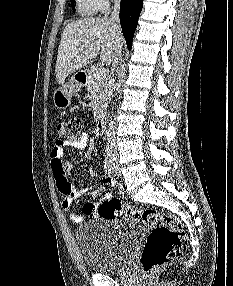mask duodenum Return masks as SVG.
Wrapping results in <instances>:
<instances>
[{"mask_svg":"<svg viewBox=\"0 0 233 286\" xmlns=\"http://www.w3.org/2000/svg\"><path fill=\"white\" fill-rule=\"evenodd\" d=\"M87 79V76L85 73H80L78 75V81L81 83H85ZM96 130L100 133V134H105L106 131V126H105V121L103 118H98V120L96 121Z\"/></svg>","mask_w":233,"mask_h":286,"instance_id":"1","label":"duodenum"}]
</instances>
